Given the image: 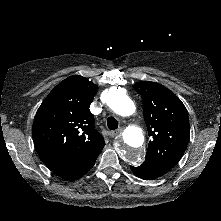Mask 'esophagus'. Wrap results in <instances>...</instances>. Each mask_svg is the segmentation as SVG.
Returning <instances> with one entry per match:
<instances>
[{
    "instance_id": "obj_1",
    "label": "esophagus",
    "mask_w": 221,
    "mask_h": 221,
    "mask_svg": "<svg viewBox=\"0 0 221 221\" xmlns=\"http://www.w3.org/2000/svg\"><path fill=\"white\" fill-rule=\"evenodd\" d=\"M121 132H122V129H117L114 131H110L109 135H110V137H115V136L119 135Z\"/></svg>"
}]
</instances>
